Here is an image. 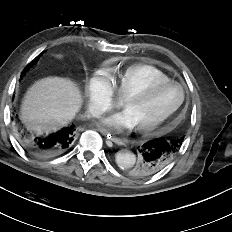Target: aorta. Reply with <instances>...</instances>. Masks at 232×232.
Segmentation results:
<instances>
[{"label": "aorta", "instance_id": "obj_1", "mask_svg": "<svg viewBox=\"0 0 232 232\" xmlns=\"http://www.w3.org/2000/svg\"><path fill=\"white\" fill-rule=\"evenodd\" d=\"M115 158L117 165L122 169L131 168L136 162L135 154L128 150H120L116 153Z\"/></svg>", "mask_w": 232, "mask_h": 232}]
</instances>
